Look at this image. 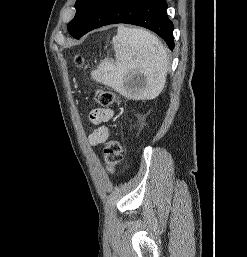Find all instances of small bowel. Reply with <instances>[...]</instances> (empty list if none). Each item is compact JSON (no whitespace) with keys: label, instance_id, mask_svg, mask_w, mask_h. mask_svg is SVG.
Returning <instances> with one entry per match:
<instances>
[{"label":"small bowel","instance_id":"small-bowel-1","mask_svg":"<svg viewBox=\"0 0 247 257\" xmlns=\"http://www.w3.org/2000/svg\"><path fill=\"white\" fill-rule=\"evenodd\" d=\"M114 115L111 109L95 108L90 112V121L95 125L109 121ZM108 137V132L104 127L95 129L89 136V143L93 146L103 143Z\"/></svg>","mask_w":247,"mask_h":257}]
</instances>
